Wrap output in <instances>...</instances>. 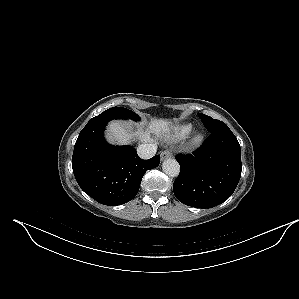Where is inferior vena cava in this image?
Instances as JSON below:
<instances>
[{
	"mask_svg": "<svg viewBox=\"0 0 299 299\" xmlns=\"http://www.w3.org/2000/svg\"><path fill=\"white\" fill-rule=\"evenodd\" d=\"M157 151V145L153 143H145L141 144L137 148L138 155L142 159H149L152 158Z\"/></svg>",
	"mask_w": 299,
	"mask_h": 299,
	"instance_id": "inferior-vena-cava-1",
	"label": "inferior vena cava"
}]
</instances>
